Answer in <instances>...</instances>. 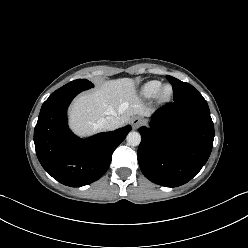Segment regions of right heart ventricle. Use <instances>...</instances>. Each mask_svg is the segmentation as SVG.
<instances>
[{
    "instance_id": "e07e8e85",
    "label": "right heart ventricle",
    "mask_w": 248,
    "mask_h": 248,
    "mask_svg": "<svg viewBox=\"0 0 248 248\" xmlns=\"http://www.w3.org/2000/svg\"><path fill=\"white\" fill-rule=\"evenodd\" d=\"M161 87V82L157 80H151L145 82L139 89V96L144 99L152 98Z\"/></svg>"
}]
</instances>
